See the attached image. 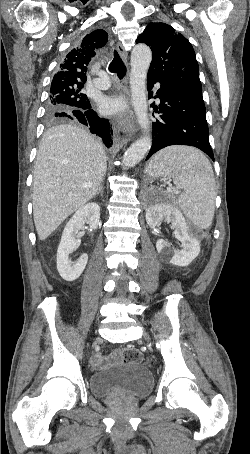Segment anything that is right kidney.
Masks as SVG:
<instances>
[{
	"label": "right kidney",
	"instance_id": "obj_1",
	"mask_svg": "<svg viewBox=\"0 0 250 454\" xmlns=\"http://www.w3.org/2000/svg\"><path fill=\"white\" fill-rule=\"evenodd\" d=\"M100 219V206L91 202L76 210L75 214L66 224L57 250V270L66 281H74L84 271L88 255L82 254L75 263H71L69 255L77 248L76 235L88 222L90 228L96 229Z\"/></svg>",
	"mask_w": 250,
	"mask_h": 454
}]
</instances>
